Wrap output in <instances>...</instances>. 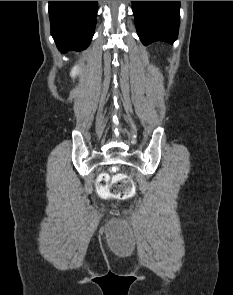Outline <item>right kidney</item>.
<instances>
[{"label": "right kidney", "mask_w": 233, "mask_h": 295, "mask_svg": "<svg viewBox=\"0 0 233 295\" xmlns=\"http://www.w3.org/2000/svg\"><path fill=\"white\" fill-rule=\"evenodd\" d=\"M76 74H78V67H77V66H75V67L72 69V71H71V76H72V77H75Z\"/></svg>", "instance_id": "right-kidney-1"}]
</instances>
